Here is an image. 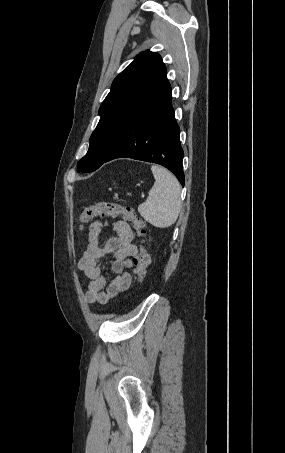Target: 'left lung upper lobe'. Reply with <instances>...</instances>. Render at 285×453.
Wrapping results in <instances>:
<instances>
[{"label":"left lung upper lobe","mask_w":285,"mask_h":453,"mask_svg":"<svg viewBox=\"0 0 285 453\" xmlns=\"http://www.w3.org/2000/svg\"><path fill=\"white\" fill-rule=\"evenodd\" d=\"M167 81V70L158 53L141 52L113 81L102 102L99 123L89 140L78 172H92L105 161L133 120L155 98Z\"/></svg>","instance_id":"obj_1"}]
</instances>
